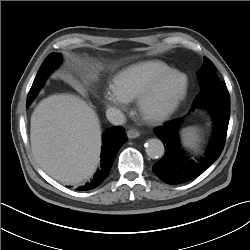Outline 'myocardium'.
Returning <instances> with one entry per match:
<instances>
[{
	"label": "myocardium",
	"mask_w": 250,
	"mask_h": 250,
	"mask_svg": "<svg viewBox=\"0 0 250 250\" xmlns=\"http://www.w3.org/2000/svg\"><path fill=\"white\" fill-rule=\"evenodd\" d=\"M180 77L182 79V85L177 94L172 98V100L167 103L161 110L156 112H150L148 106L152 98L157 93L159 87L163 82L172 78ZM189 88V78L188 76L179 70H171L164 73L154 79L136 98V105L139 113L142 117L150 124H158L166 119H168L180 105V103L185 98Z\"/></svg>",
	"instance_id": "obj_1"
}]
</instances>
